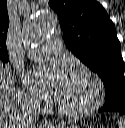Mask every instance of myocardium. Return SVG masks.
<instances>
[{
	"label": "myocardium",
	"instance_id": "myocardium-1",
	"mask_svg": "<svg viewBox=\"0 0 125 128\" xmlns=\"http://www.w3.org/2000/svg\"><path fill=\"white\" fill-rule=\"evenodd\" d=\"M70 75L84 76L91 80L95 86V97L93 98L90 104L77 110H68L60 105H57L58 113L65 118L77 119L90 115L96 110H98L105 99V87L101 78L93 71L82 67L75 68L71 71Z\"/></svg>",
	"mask_w": 125,
	"mask_h": 128
}]
</instances>
